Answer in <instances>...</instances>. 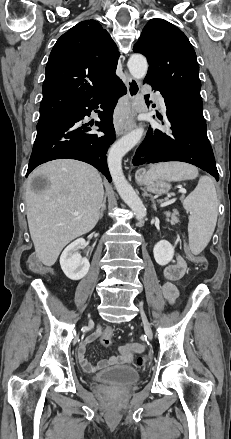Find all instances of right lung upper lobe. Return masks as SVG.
Listing matches in <instances>:
<instances>
[{"label":"right lung upper lobe","instance_id":"cb5924a9","mask_svg":"<svg viewBox=\"0 0 231 439\" xmlns=\"http://www.w3.org/2000/svg\"><path fill=\"white\" fill-rule=\"evenodd\" d=\"M118 57L114 41L95 20L82 21L63 34L46 65L39 121L106 92L118 79Z\"/></svg>","mask_w":231,"mask_h":439}]
</instances>
